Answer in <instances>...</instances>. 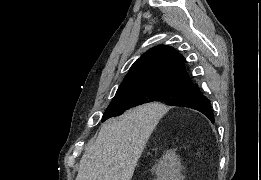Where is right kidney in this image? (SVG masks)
Here are the masks:
<instances>
[{
    "label": "right kidney",
    "instance_id": "ca27d5eb",
    "mask_svg": "<svg viewBox=\"0 0 261 180\" xmlns=\"http://www.w3.org/2000/svg\"><path fill=\"white\" fill-rule=\"evenodd\" d=\"M158 180H181V164L179 156L174 152L162 156L159 164L154 166Z\"/></svg>",
    "mask_w": 261,
    "mask_h": 180
}]
</instances>
